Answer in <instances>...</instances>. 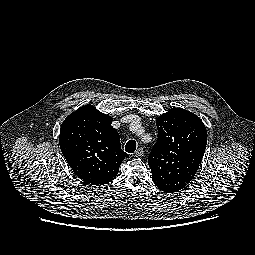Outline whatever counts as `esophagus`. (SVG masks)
Here are the masks:
<instances>
[{
	"label": "esophagus",
	"instance_id": "esophagus-1",
	"mask_svg": "<svg viewBox=\"0 0 255 255\" xmlns=\"http://www.w3.org/2000/svg\"><path fill=\"white\" fill-rule=\"evenodd\" d=\"M144 155V150L143 148H138L135 153H134V156L135 157H142Z\"/></svg>",
	"mask_w": 255,
	"mask_h": 255
}]
</instances>
